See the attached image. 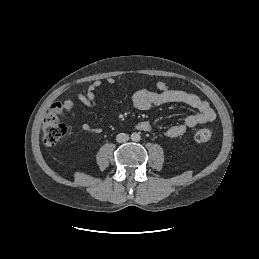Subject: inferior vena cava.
I'll return each instance as SVG.
<instances>
[{
	"mask_svg": "<svg viewBox=\"0 0 259 259\" xmlns=\"http://www.w3.org/2000/svg\"><path fill=\"white\" fill-rule=\"evenodd\" d=\"M129 140V136L125 133H119L117 136H116V141L118 143H124V142H127Z\"/></svg>",
	"mask_w": 259,
	"mask_h": 259,
	"instance_id": "inferior-vena-cava-1",
	"label": "inferior vena cava"
}]
</instances>
